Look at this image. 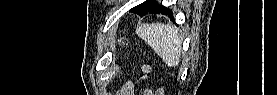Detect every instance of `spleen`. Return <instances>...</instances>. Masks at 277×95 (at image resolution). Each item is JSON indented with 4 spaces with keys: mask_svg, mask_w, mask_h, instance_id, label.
Instances as JSON below:
<instances>
[{
    "mask_svg": "<svg viewBox=\"0 0 277 95\" xmlns=\"http://www.w3.org/2000/svg\"><path fill=\"white\" fill-rule=\"evenodd\" d=\"M136 33L169 67L179 65L182 40L175 27L162 23L142 24Z\"/></svg>",
    "mask_w": 277,
    "mask_h": 95,
    "instance_id": "3e777b00",
    "label": "spleen"
}]
</instances>
